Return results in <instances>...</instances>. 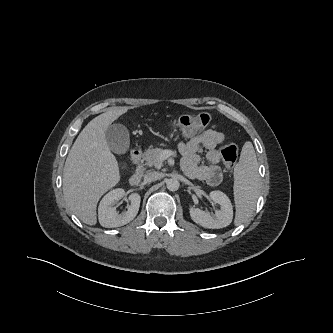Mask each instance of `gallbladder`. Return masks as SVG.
<instances>
[{
	"mask_svg": "<svg viewBox=\"0 0 333 333\" xmlns=\"http://www.w3.org/2000/svg\"><path fill=\"white\" fill-rule=\"evenodd\" d=\"M105 139L111 151L116 154H124L129 148V132L122 124H111L105 132Z\"/></svg>",
	"mask_w": 333,
	"mask_h": 333,
	"instance_id": "bac80fb5",
	"label": "gallbladder"
}]
</instances>
